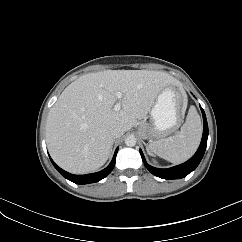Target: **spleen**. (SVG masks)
Returning a JSON list of instances; mask_svg holds the SVG:
<instances>
[{"mask_svg": "<svg viewBox=\"0 0 242 242\" xmlns=\"http://www.w3.org/2000/svg\"><path fill=\"white\" fill-rule=\"evenodd\" d=\"M202 136L200 116L191 106L185 123L179 132L171 137L159 139L150 144L149 149L159 157L179 164L189 159L197 150Z\"/></svg>", "mask_w": 242, "mask_h": 242, "instance_id": "obj_1", "label": "spleen"}]
</instances>
